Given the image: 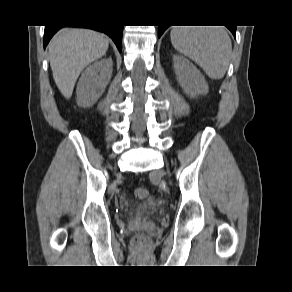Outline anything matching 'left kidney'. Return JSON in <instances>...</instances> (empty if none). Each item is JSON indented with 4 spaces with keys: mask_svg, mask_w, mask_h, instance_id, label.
Segmentation results:
<instances>
[{
    "mask_svg": "<svg viewBox=\"0 0 292 292\" xmlns=\"http://www.w3.org/2000/svg\"><path fill=\"white\" fill-rule=\"evenodd\" d=\"M173 66L177 80L187 95L197 97L208 93L209 87L204 77L189 60L175 55L173 56Z\"/></svg>",
    "mask_w": 292,
    "mask_h": 292,
    "instance_id": "left-kidney-1",
    "label": "left kidney"
}]
</instances>
